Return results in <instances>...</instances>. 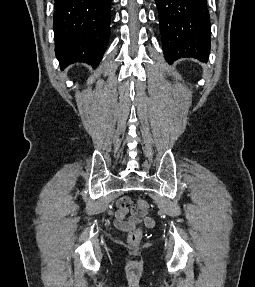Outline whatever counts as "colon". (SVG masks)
<instances>
[{
  "instance_id": "colon-1",
  "label": "colon",
  "mask_w": 255,
  "mask_h": 287,
  "mask_svg": "<svg viewBox=\"0 0 255 287\" xmlns=\"http://www.w3.org/2000/svg\"><path fill=\"white\" fill-rule=\"evenodd\" d=\"M137 205H138V208L142 211H147L148 209V204L146 201L144 200H139L137 202ZM141 237H142V232L141 230L139 229H136V230H133L131 231L129 234H128V242L130 244H137L140 240H141Z\"/></svg>"
}]
</instances>
